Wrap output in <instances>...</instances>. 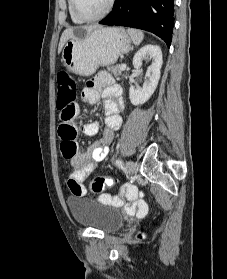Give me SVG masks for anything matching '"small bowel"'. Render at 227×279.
Returning a JSON list of instances; mask_svg holds the SVG:
<instances>
[{"instance_id": "small-bowel-1", "label": "small bowel", "mask_w": 227, "mask_h": 279, "mask_svg": "<svg viewBox=\"0 0 227 279\" xmlns=\"http://www.w3.org/2000/svg\"><path fill=\"white\" fill-rule=\"evenodd\" d=\"M105 99L104 102V129L103 136L98 145L93 146L87 152H77L70 159L74 169L67 176V184L70 179H75L81 187L83 193L86 189L83 182L95 170L97 164L104 160L108 154L109 145L113 139L114 132L121 126L122 118L120 112L123 109L121 87L108 75L101 73L95 79L87 82L82 89V100L90 105L98 103L100 97ZM74 125L73 121L68 122ZM101 125L97 121L84 123L82 131L84 134L93 136L100 131ZM123 191L129 194L138 192V189L132 185H125ZM129 210L134 211L138 216L144 214L148 210V206L144 200H137L129 205Z\"/></svg>"}]
</instances>
